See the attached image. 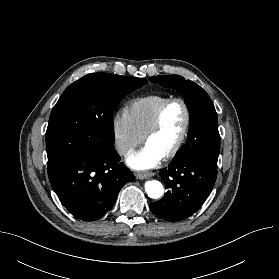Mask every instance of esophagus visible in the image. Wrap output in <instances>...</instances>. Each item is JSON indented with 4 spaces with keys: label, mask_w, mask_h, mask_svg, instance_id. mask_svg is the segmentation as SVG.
<instances>
[{
    "label": "esophagus",
    "mask_w": 279,
    "mask_h": 279,
    "mask_svg": "<svg viewBox=\"0 0 279 279\" xmlns=\"http://www.w3.org/2000/svg\"><path fill=\"white\" fill-rule=\"evenodd\" d=\"M154 174L152 172H146V173H136V178L143 180V179H147L151 176H153Z\"/></svg>",
    "instance_id": "34e87169"
}]
</instances>
